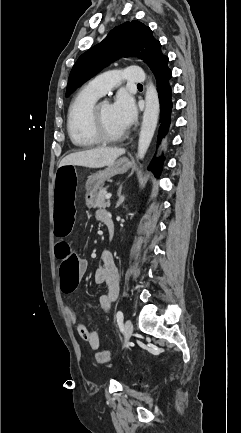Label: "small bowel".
<instances>
[{
  "label": "small bowel",
  "mask_w": 241,
  "mask_h": 433,
  "mask_svg": "<svg viewBox=\"0 0 241 433\" xmlns=\"http://www.w3.org/2000/svg\"><path fill=\"white\" fill-rule=\"evenodd\" d=\"M108 215L109 214L105 209H98L95 213L96 219L100 222H103L104 216ZM86 266V261L81 259V270L85 271ZM119 279V271L116 261L109 253H104L101 258V264L96 268L94 273L95 282L97 284H104L107 287V293L102 294L99 297V306L103 311H109L112 303L117 298L119 293ZM67 315L71 323L76 326L79 336L88 343L91 349L97 350L99 348L98 332L89 330L79 320L77 313L71 306L67 307Z\"/></svg>",
  "instance_id": "obj_1"
}]
</instances>
